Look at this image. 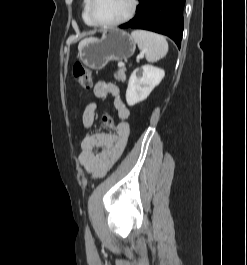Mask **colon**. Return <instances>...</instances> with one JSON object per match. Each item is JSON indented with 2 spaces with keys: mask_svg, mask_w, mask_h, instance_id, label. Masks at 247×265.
I'll return each instance as SVG.
<instances>
[{
  "mask_svg": "<svg viewBox=\"0 0 247 265\" xmlns=\"http://www.w3.org/2000/svg\"><path fill=\"white\" fill-rule=\"evenodd\" d=\"M72 72L75 80L82 89L88 90L91 88L92 76L88 68L80 63H76L73 66ZM101 121L104 127H106L107 129L111 131H114L116 129L115 123L109 114L104 113L101 117Z\"/></svg>",
  "mask_w": 247,
  "mask_h": 265,
  "instance_id": "obj_1",
  "label": "colon"
}]
</instances>
